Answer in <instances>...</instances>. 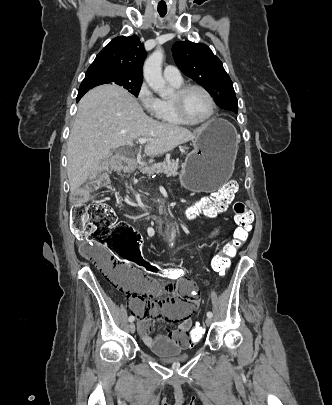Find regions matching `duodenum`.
Wrapping results in <instances>:
<instances>
[{
  "label": "duodenum",
  "instance_id": "1",
  "mask_svg": "<svg viewBox=\"0 0 332 405\" xmlns=\"http://www.w3.org/2000/svg\"><path fill=\"white\" fill-rule=\"evenodd\" d=\"M126 156L132 158V155L130 153H126ZM208 216H211V214H208ZM186 217L187 219H192L193 215L191 213H187Z\"/></svg>",
  "mask_w": 332,
  "mask_h": 405
}]
</instances>
